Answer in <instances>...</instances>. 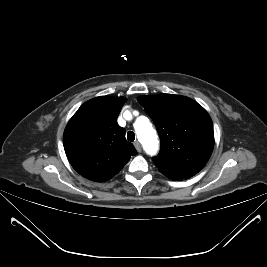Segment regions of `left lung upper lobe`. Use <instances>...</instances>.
<instances>
[{
	"mask_svg": "<svg viewBox=\"0 0 267 267\" xmlns=\"http://www.w3.org/2000/svg\"><path fill=\"white\" fill-rule=\"evenodd\" d=\"M138 101L160 136V153L153 157L159 171L183 179L197 174L214 147L213 123L206 110L180 95L140 96Z\"/></svg>",
	"mask_w": 267,
	"mask_h": 267,
	"instance_id": "obj_1",
	"label": "left lung upper lobe"
}]
</instances>
